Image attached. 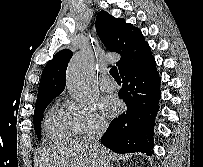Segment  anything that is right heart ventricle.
<instances>
[{
	"instance_id": "1",
	"label": "right heart ventricle",
	"mask_w": 203,
	"mask_h": 167,
	"mask_svg": "<svg viewBox=\"0 0 203 167\" xmlns=\"http://www.w3.org/2000/svg\"><path fill=\"white\" fill-rule=\"evenodd\" d=\"M44 130L47 138L53 141L69 140L75 136L66 118L64 109L57 107H52L47 113Z\"/></svg>"
}]
</instances>
